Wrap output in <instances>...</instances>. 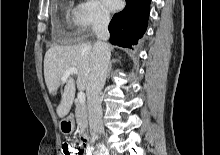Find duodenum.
Returning a JSON list of instances; mask_svg holds the SVG:
<instances>
[{
    "label": "duodenum",
    "instance_id": "410a0bca",
    "mask_svg": "<svg viewBox=\"0 0 220 155\" xmlns=\"http://www.w3.org/2000/svg\"><path fill=\"white\" fill-rule=\"evenodd\" d=\"M84 136L87 137V141H88L89 140L88 135H84ZM85 151H86V155H91V153H92V149H91V147L88 144L85 147Z\"/></svg>",
    "mask_w": 220,
    "mask_h": 155
}]
</instances>
